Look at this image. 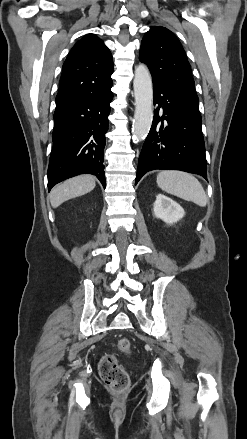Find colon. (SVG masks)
I'll list each match as a JSON object with an SVG mask.
<instances>
[{
  "label": "colon",
  "instance_id": "5ec220e1",
  "mask_svg": "<svg viewBox=\"0 0 247 439\" xmlns=\"http://www.w3.org/2000/svg\"><path fill=\"white\" fill-rule=\"evenodd\" d=\"M117 349L124 354H129L131 349L129 340L120 339ZM99 373L102 380L115 392H121L128 386V374L113 354L108 353L102 357Z\"/></svg>",
  "mask_w": 247,
  "mask_h": 439
}]
</instances>
